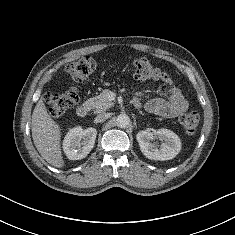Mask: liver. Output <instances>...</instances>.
<instances>
[{"label": "liver", "instance_id": "liver-1", "mask_svg": "<svg viewBox=\"0 0 235 235\" xmlns=\"http://www.w3.org/2000/svg\"><path fill=\"white\" fill-rule=\"evenodd\" d=\"M32 138L40 155L49 164L63 167L60 126L49 116L41 98L32 114Z\"/></svg>", "mask_w": 235, "mask_h": 235}]
</instances>
